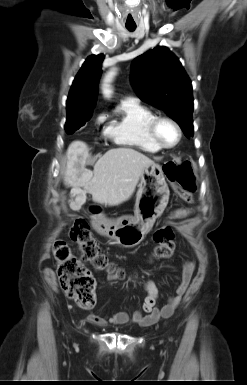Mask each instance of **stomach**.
I'll return each instance as SVG.
<instances>
[{
    "mask_svg": "<svg viewBox=\"0 0 247 385\" xmlns=\"http://www.w3.org/2000/svg\"><path fill=\"white\" fill-rule=\"evenodd\" d=\"M169 195L162 167L153 162L141 174L134 217L107 221L99 228L100 233L125 248L138 245L163 213Z\"/></svg>",
    "mask_w": 247,
    "mask_h": 385,
    "instance_id": "obj_1",
    "label": "stomach"
}]
</instances>
